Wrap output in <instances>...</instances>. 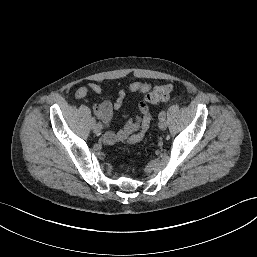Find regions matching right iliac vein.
<instances>
[{
	"label": "right iliac vein",
	"instance_id": "63e3f726",
	"mask_svg": "<svg viewBox=\"0 0 257 257\" xmlns=\"http://www.w3.org/2000/svg\"><path fill=\"white\" fill-rule=\"evenodd\" d=\"M101 129H102L101 123H97V124L93 125V132L95 134H100Z\"/></svg>",
	"mask_w": 257,
	"mask_h": 257
}]
</instances>
